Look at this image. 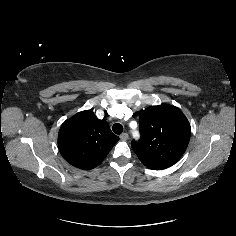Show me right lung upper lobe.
Here are the masks:
<instances>
[{"instance_id": "obj_1", "label": "right lung upper lobe", "mask_w": 236, "mask_h": 236, "mask_svg": "<svg viewBox=\"0 0 236 236\" xmlns=\"http://www.w3.org/2000/svg\"><path fill=\"white\" fill-rule=\"evenodd\" d=\"M119 140L105 120L90 110L66 120L58 134V148L72 166L90 170L98 166Z\"/></svg>"}]
</instances>
